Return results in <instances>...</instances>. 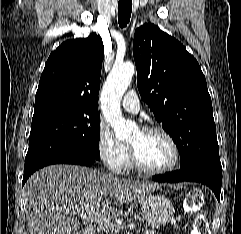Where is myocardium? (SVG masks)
I'll use <instances>...</instances> for the list:
<instances>
[{"label": "myocardium", "mask_w": 241, "mask_h": 234, "mask_svg": "<svg viewBox=\"0 0 241 234\" xmlns=\"http://www.w3.org/2000/svg\"><path fill=\"white\" fill-rule=\"evenodd\" d=\"M140 131L146 134L148 133L162 134L171 144L174 157L172 162L164 168H158V169L150 168L141 161L136 147L133 146L132 144H129V156H130L132 166L138 171L149 175H162L173 171L177 167L180 160V148L177 141L172 136V134L161 126H147L142 128Z\"/></svg>", "instance_id": "1"}]
</instances>
